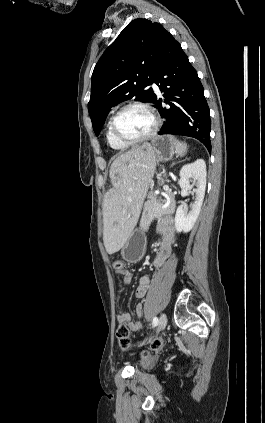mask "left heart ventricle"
Here are the masks:
<instances>
[{
  "instance_id": "obj_1",
  "label": "left heart ventricle",
  "mask_w": 265,
  "mask_h": 423,
  "mask_svg": "<svg viewBox=\"0 0 265 423\" xmlns=\"http://www.w3.org/2000/svg\"><path fill=\"white\" fill-rule=\"evenodd\" d=\"M153 126V120L140 108L124 111L117 120V129L123 136L135 139L146 135Z\"/></svg>"
}]
</instances>
